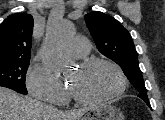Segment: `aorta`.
<instances>
[{"label": "aorta", "mask_w": 165, "mask_h": 120, "mask_svg": "<svg viewBox=\"0 0 165 120\" xmlns=\"http://www.w3.org/2000/svg\"><path fill=\"white\" fill-rule=\"evenodd\" d=\"M72 33V23L63 18H51L47 24L41 56L46 67L55 75L61 74L67 67L61 50L64 42Z\"/></svg>", "instance_id": "762f6f07"}]
</instances>
